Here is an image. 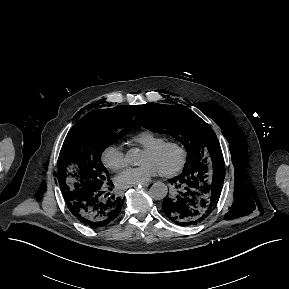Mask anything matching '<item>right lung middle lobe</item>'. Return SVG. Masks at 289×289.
<instances>
[{
	"instance_id": "right-lung-middle-lobe-1",
	"label": "right lung middle lobe",
	"mask_w": 289,
	"mask_h": 289,
	"mask_svg": "<svg viewBox=\"0 0 289 289\" xmlns=\"http://www.w3.org/2000/svg\"><path fill=\"white\" fill-rule=\"evenodd\" d=\"M134 106L87 114L71 129L62 148L58 181L64 198L103 186L109 180L102 152L117 139L138 127Z\"/></svg>"
}]
</instances>
